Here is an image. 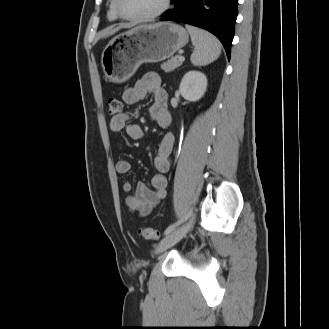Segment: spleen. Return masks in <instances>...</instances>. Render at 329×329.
I'll use <instances>...</instances> for the list:
<instances>
[{"label": "spleen", "mask_w": 329, "mask_h": 329, "mask_svg": "<svg viewBox=\"0 0 329 329\" xmlns=\"http://www.w3.org/2000/svg\"><path fill=\"white\" fill-rule=\"evenodd\" d=\"M195 49L191 55V62L195 66H205L215 61L221 54V44L211 33L186 25Z\"/></svg>", "instance_id": "spleen-1"}]
</instances>
